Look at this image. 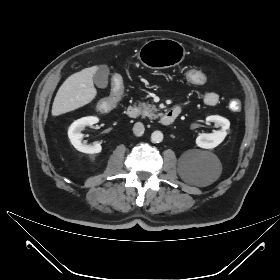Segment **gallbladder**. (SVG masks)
<instances>
[{"instance_id":"obj_1","label":"gallbladder","mask_w":280,"mask_h":280,"mask_svg":"<svg viewBox=\"0 0 280 280\" xmlns=\"http://www.w3.org/2000/svg\"><path fill=\"white\" fill-rule=\"evenodd\" d=\"M109 68L107 65H100L93 76L94 83L99 88H106L108 85Z\"/></svg>"}]
</instances>
